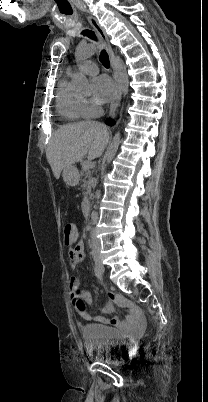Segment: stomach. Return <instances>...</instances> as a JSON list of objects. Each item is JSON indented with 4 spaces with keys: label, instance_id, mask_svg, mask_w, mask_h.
Wrapping results in <instances>:
<instances>
[{
    "label": "stomach",
    "instance_id": "obj_1",
    "mask_svg": "<svg viewBox=\"0 0 208 402\" xmlns=\"http://www.w3.org/2000/svg\"><path fill=\"white\" fill-rule=\"evenodd\" d=\"M62 178L67 186H77L79 182V174L77 168H75V166L64 168L62 172Z\"/></svg>",
    "mask_w": 208,
    "mask_h": 402
}]
</instances>
